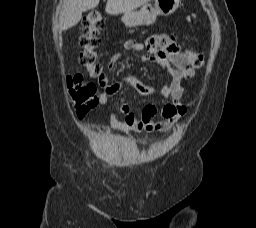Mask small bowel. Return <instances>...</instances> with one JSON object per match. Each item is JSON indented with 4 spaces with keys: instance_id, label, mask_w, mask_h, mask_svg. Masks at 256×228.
I'll list each match as a JSON object with an SVG mask.
<instances>
[{
    "instance_id": "c3829d8e",
    "label": "small bowel",
    "mask_w": 256,
    "mask_h": 228,
    "mask_svg": "<svg viewBox=\"0 0 256 228\" xmlns=\"http://www.w3.org/2000/svg\"><path fill=\"white\" fill-rule=\"evenodd\" d=\"M123 48L125 51L143 53L144 60L159 64L169 75V81L159 90L133 76L127 77L125 84L141 96L157 95L161 98H169L171 102L160 109L152 104L146 105L140 117L134 115L128 104H122L120 111L123 119L120 120L115 115H111V127L123 132L168 131L186 112V107L181 101L184 95L183 81L194 75V69L187 55L181 51L175 37L169 34H153L145 42L129 39L125 41ZM121 57L120 52L113 54L107 62V68L112 69ZM99 83L102 87L99 101L102 104L115 95L122 85L111 83L105 73L99 76ZM157 114L162 117L159 121L154 120Z\"/></svg>"
}]
</instances>
